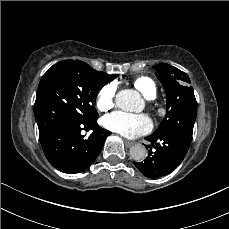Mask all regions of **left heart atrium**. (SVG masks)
<instances>
[{
  "instance_id": "39dd6f15",
  "label": "left heart atrium",
  "mask_w": 229,
  "mask_h": 229,
  "mask_svg": "<svg viewBox=\"0 0 229 229\" xmlns=\"http://www.w3.org/2000/svg\"><path fill=\"white\" fill-rule=\"evenodd\" d=\"M104 126L125 137L135 138L152 129V120L146 114H131L115 111L104 118Z\"/></svg>"
}]
</instances>
